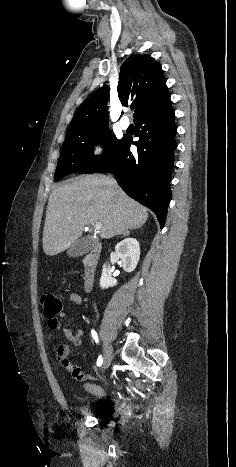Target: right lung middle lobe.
Here are the masks:
<instances>
[{"mask_svg":"<svg viewBox=\"0 0 236 467\" xmlns=\"http://www.w3.org/2000/svg\"><path fill=\"white\" fill-rule=\"evenodd\" d=\"M125 137L118 140L109 128L85 133L67 134L58 159L54 180L74 172L93 173L112 159L121 148ZM104 146V153L95 157L94 145Z\"/></svg>","mask_w":236,"mask_h":467,"instance_id":"dd1d6c3e","label":"right lung middle lobe"}]
</instances>
